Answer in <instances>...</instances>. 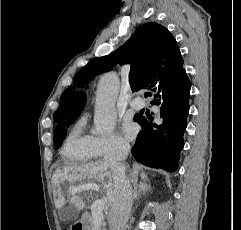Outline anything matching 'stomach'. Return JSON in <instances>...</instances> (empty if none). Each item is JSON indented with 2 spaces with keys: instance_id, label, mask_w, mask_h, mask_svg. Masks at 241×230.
Wrapping results in <instances>:
<instances>
[{
  "instance_id": "1",
  "label": "stomach",
  "mask_w": 241,
  "mask_h": 230,
  "mask_svg": "<svg viewBox=\"0 0 241 230\" xmlns=\"http://www.w3.org/2000/svg\"><path fill=\"white\" fill-rule=\"evenodd\" d=\"M76 226H78L80 230H90V226L88 223V220L86 218L80 219L77 223Z\"/></svg>"
}]
</instances>
